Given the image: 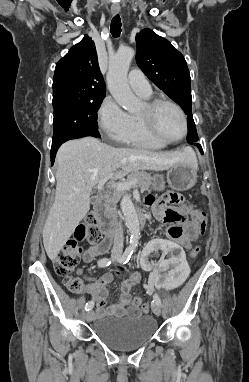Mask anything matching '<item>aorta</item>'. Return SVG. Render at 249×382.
I'll return each instance as SVG.
<instances>
[{"mask_svg":"<svg viewBox=\"0 0 249 382\" xmlns=\"http://www.w3.org/2000/svg\"><path fill=\"white\" fill-rule=\"evenodd\" d=\"M134 54V49L130 47L118 49L117 53L110 58L107 73V83L111 95L121 107L129 112L136 111L139 106V102L127 81V72ZM121 208L130 233L128 249L133 252L138 247L140 238L138 215L129 197H125L122 200Z\"/></svg>","mask_w":249,"mask_h":382,"instance_id":"1","label":"aorta"}]
</instances>
